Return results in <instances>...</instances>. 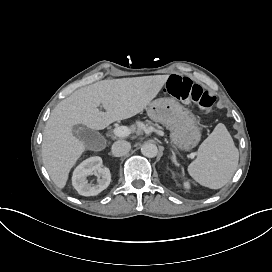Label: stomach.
Wrapping results in <instances>:
<instances>
[{
  "mask_svg": "<svg viewBox=\"0 0 272 272\" xmlns=\"http://www.w3.org/2000/svg\"><path fill=\"white\" fill-rule=\"evenodd\" d=\"M148 116L171 131L172 142L183 150H191L201 138L195 115L173 98H159L146 107Z\"/></svg>",
  "mask_w": 272,
  "mask_h": 272,
  "instance_id": "0dacf381",
  "label": "stomach"
}]
</instances>
